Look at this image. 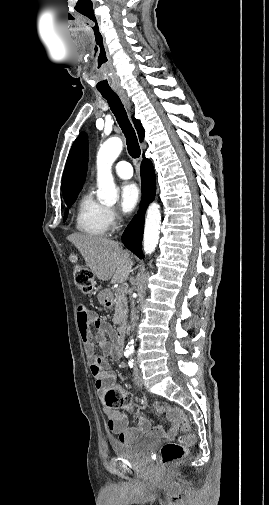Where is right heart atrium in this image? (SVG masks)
<instances>
[{"label":"right heart atrium","mask_w":269,"mask_h":505,"mask_svg":"<svg viewBox=\"0 0 269 505\" xmlns=\"http://www.w3.org/2000/svg\"><path fill=\"white\" fill-rule=\"evenodd\" d=\"M107 221L110 227H114L117 225L119 217L117 212L113 208L106 209Z\"/></svg>","instance_id":"d8ad5b80"}]
</instances>
